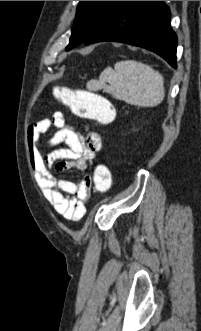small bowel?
I'll return each instance as SVG.
<instances>
[{
  "instance_id": "1",
  "label": "small bowel",
  "mask_w": 201,
  "mask_h": 331,
  "mask_svg": "<svg viewBox=\"0 0 201 331\" xmlns=\"http://www.w3.org/2000/svg\"><path fill=\"white\" fill-rule=\"evenodd\" d=\"M51 127L56 128L51 144L63 142L66 148L44 155L40 148L41 138ZM27 139L31 166L45 199L66 220H80L86 212L91 177L84 175L79 181L73 182L57 178L53 170H86L88 163L102 148L100 135L90 132L84 138L77 130L68 126L63 113L57 111L51 117L32 124Z\"/></svg>"
}]
</instances>
